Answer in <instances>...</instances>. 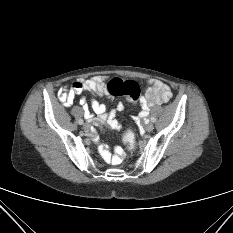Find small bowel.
Listing matches in <instances>:
<instances>
[{
	"mask_svg": "<svg viewBox=\"0 0 233 233\" xmlns=\"http://www.w3.org/2000/svg\"><path fill=\"white\" fill-rule=\"evenodd\" d=\"M107 84L106 77L103 76H95L86 80L77 79L69 86L61 87L58 91V98L65 106H70L75 97L83 91L93 92L110 99L111 94L109 93ZM149 84L150 87L140 98L141 110L138 114V120L146 118L152 106L167 103L172 97L171 88L164 82L158 79H151ZM79 103L86 119L94 123H105L112 129L120 128V123L116 119V114L118 111L123 110V103H118L115 108L109 109L107 105L93 99L91 101L92 111L89 110L85 98H81ZM104 157L109 162L119 163L124 157V151L121 147H115L112 151L105 149Z\"/></svg>",
	"mask_w": 233,
	"mask_h": 233,
	"instance_id": "c3829d8e",
	"label": "small bowel"
}]
</instances>
